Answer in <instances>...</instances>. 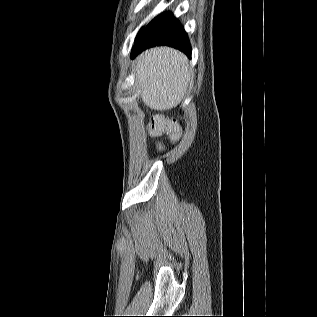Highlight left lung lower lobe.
<instances>
[{
    "label": "left lung lower lobe",
    "mask_w": 317,
    "mask_h": 317,
    "mask_svg": "<svg viewBox=\"0 0 317 317\" xmlns=\"http://www.w3.org/2000/svg\"><path fill=\"white\" fill-rule=\"evenodd\" d=\"M162 45L174 47L191 58V46L187 34L170 12L158 15L140 30L132 48L131 58H135L150 47Z\"/></svg>",
    "instance_id": "1"
}]
</instances>
